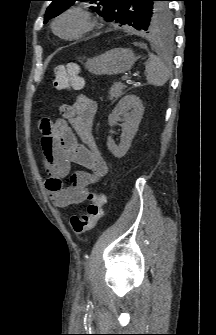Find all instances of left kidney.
Listing matches in <instances>:
<instances>
[{
	"instance_id": "obj_1",
	"label": "left kidney",
	"mask_w": 216,
	"mask_h": 335,
	"mask_svg": "<svg viewBox=\"0 0 216 335\" xmlns=\"http://www.w3.org/2000/svg\"><path fill=\"white\" fill-rule=\"evenodd\" d=\"M144 107L139 97L135 95H126L116 105L108 117L109 125L113 127L118 121L122 120V134L119 145L111 136L107 138L109 151L117 158L125 156L131 146V142L138 130L139 124L143 117ZM122 116V119L120 118Z\"/></svg>"
}]
</instances>
